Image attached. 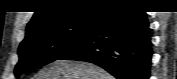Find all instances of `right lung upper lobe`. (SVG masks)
Returning a JSON list of instances; mask_svg holds the SVG:
<instances>
[{"label":"right lung upper lobe","instance_id":"1","mask_svg":"<svg viewBox=\"0 0 177 79\" xmlns=\"http://www.w3.org/2000/svg\"><path fill=\"white\" fill-rule=\"evenodd\" d=\"M131 3L128 0H44L39 3L38 11L28 23L26 33L41 26L76 19L92 13L101 15L108 8Z\"/></svg>","mask_w":177,"mask_h":79}]
</instances>
